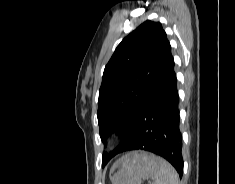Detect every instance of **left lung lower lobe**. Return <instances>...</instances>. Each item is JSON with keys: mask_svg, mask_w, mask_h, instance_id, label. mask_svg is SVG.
<instances>
[{"mask_svg": "<svg viewBox=\"0 0 235 184\" xmlns=\"http://www.w3.org/2000/svg\"><path fill=\"white\" fill-rule=\"evenodd\" d=\"M182 137L179 129L177 79L167 40L154 82L138 114L130 138L120 152L146 150L169 161L183 173Z\"/></svg>", "mask_w": 235, "mask_h": 184, "instance_id": "1", "label": "left lung lower lobe"}]
</instances>
